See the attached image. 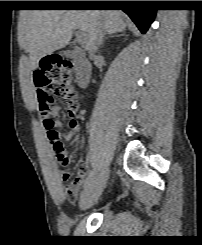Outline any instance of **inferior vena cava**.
Returning a JSON list of instances; mask_svg holds the SVG:
<instances>
[{
	"instance_id": "obj_1",
	"label": "inferior vena cava",
	"mask_w": 202,
	"mask_h": 245,
	"mask_svg": "<svg viewBox=\"0 0 202 245\" xmlns=\"http://www.w3.org/2000/svg\"><path fill=\"white\" fill-rule=\"evenodd\" d=\"M104 34H105V29L103 26H100L96 32L94 42L90 49L91 56H94V53L98 50V47L102 44Z\"/></svg>"
}]
</instances>
